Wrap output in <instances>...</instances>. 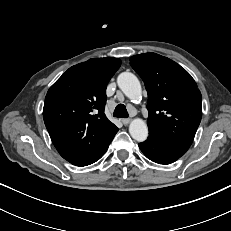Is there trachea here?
I'll list each match as a JSON object with an SVG mask.
<instances>
[{"label":"trachea","instance_id":"1","mask_svg":"<svg viewBox=\"0 0 231 231\" xmlns=\"http://www.w3.org/2000/svg\"><path fill=\"white\" fill-rule=\"evenodd\" d=\"M113 116L117 118H128L126 106L123 104H118L114 110Z\"/></svg>","mask_w":231,"mask_h":231}]
</instances>
